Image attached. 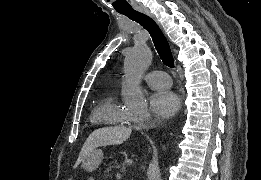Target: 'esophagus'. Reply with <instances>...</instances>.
I'll list each match as a JSON object with an SVG mask.
<instances>
[{
  "instance_id": "esophagus-1",
  "label": "esophagus",
  "mask_w": 261,
  "mask_h": 180,
  "mask_svg": "<svg viewBox=\"0 0 261 180\" xmlns=\"http://www.w3.org/2000/svg\"><path fill=\"white\" fill-rule=\"evenodd\" d=\"M138 10H140L141 12L146 13L147 15H150V13L143 7H139Z\"/></svg>"
}]
</instances>
